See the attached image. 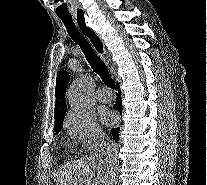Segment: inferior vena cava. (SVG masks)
Instances as JSON below:
<instances>
[{"label": "inferior vena cava", "instance_id": "inferior-vena-cava-1", "mask_svg": "<svg viewBox=\"0 0 207 185\" xmlns=\"http://www.w3.org/2000/svg\"><path fill=\"white\" fill-rule=\"evenodd\" d=\"M115 163H116V165H118V161H115ZM111 183H112V181H111Z\"/></svg>", "mask_w": 207, "mask_h": 185}]
</instances>
